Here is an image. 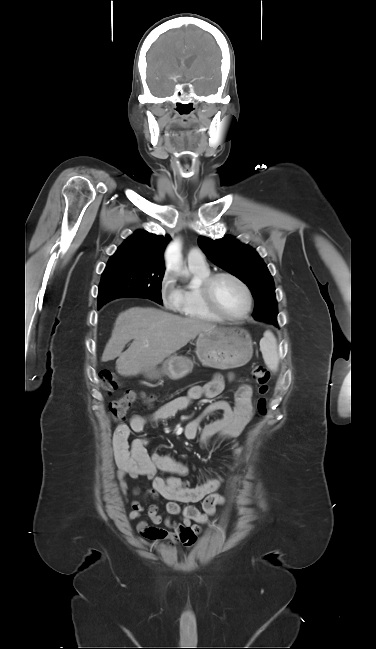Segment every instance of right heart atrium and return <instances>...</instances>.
Returning <instances> with one entry per match:
<instances>
[{"label": "right heart atrium", "instance_id": "d8ad5b80", "mask_svg": "<svg viewBox=\"0 0 376 649\" xmlns=\"http://www.w3.org/2000/svg\"><path fill=\"white\" fill-rule=\"evenodd\" d=\"M159 295L161 301L168 309L175 310L180 302L179 288L175 285V275L166 270L160 279Z\"/></svg>", "mask_w": 376, "mask_h": 649}]
</instances>
